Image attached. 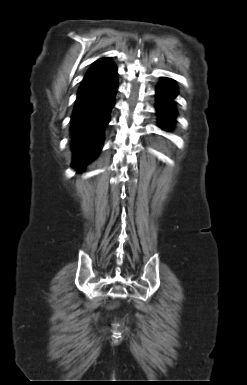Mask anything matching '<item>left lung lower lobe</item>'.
<instances>
[{
	"label": "left lung lower lobe",
	"instance_id": "0a47b994",
	"mask_svg": "<svg viewBox=\"0 0 247 385\" xmlns=\"http://www.w3.org/2000/svg\"><path fill=\"white\" fill-rule=\"evenodd\" d=\"M178 91L175 83L170 78H163L157 86L156 110L162 129H169L176 117L174 98Z\"/></svg>",
	"mask_w": 247,
	"mask_h": 385
}]
</instances>
